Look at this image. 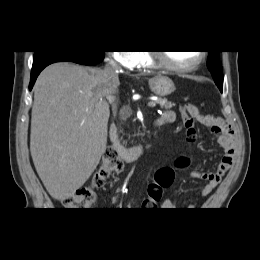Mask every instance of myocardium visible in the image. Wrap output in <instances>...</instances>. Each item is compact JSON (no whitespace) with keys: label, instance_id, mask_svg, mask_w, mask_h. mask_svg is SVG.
<instances>
[{"label":"myocardium","instance_id":"f54148a6","mask_svg":"<svg viewBox=\"0 0 260 260\" xmlns=\"http://www.w3.org/2000/svg\"><path fill=\"white\" fill-rule=\"evenodd\" d=\"M198 52H199L198 59L194 63H192L190 65H186V66H180V65H175V64L170 63L166 59L163 52L152 50V51H149L147 54H148L150 60L157 66L162 67L169 71L183 73V72H191V71L197 69L202 64V62L205 59V52L204 51H198Z\"/></svg>","mask_w":260,"mask_h":260}]
</instances>
